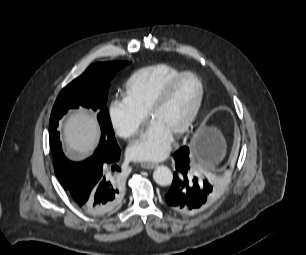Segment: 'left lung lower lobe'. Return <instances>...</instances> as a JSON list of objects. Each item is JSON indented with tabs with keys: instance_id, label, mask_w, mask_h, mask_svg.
I'll list each match as a JSON object with an SVG mask.
<instances>
[{
	"instance_id": "1",
	"label": "left lung lower lobe",
	"mask_w": 306,
	"mask_h": 255,
	"mask_svg": "<svg viewBox=\"0 0 306 255\" xmlns=\"http://www.w3.org/2000/svg\"><path fill=\"white\" fill-rule=\"evenodd\" d=\"M176 172L172 186L165 195L167 204L175 211L190 215L202 211L211 202L216 190L207 179L190 178L193 169L189 158V148L184 146L175 154Z\"/></svg>"
}]
</instances>
